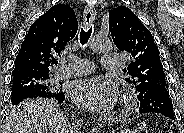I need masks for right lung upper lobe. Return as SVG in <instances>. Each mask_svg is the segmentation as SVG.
<instances>
[{"label":"right lung upper lobe","instance_id":"1","mask_svg":"<svg viewBox=\"0 0 184 133\" xmlns=\"http://www.w3.org/2000/svg\"><path fill=\"white\" fill-rule=\"evenodd\" d=\"M77 30L78 21L70 6L51 7L30 26L16 56L12 75H49L55 56L74 38Z\"/></svg>","mask_w":184,"mask_h":133}]
</instances>
